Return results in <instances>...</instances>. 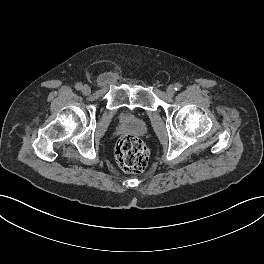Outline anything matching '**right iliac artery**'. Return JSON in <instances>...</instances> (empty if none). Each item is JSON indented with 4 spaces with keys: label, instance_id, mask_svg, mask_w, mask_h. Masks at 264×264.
Returning <instances> with one entry per match:
<instances>
[{
    "label": "right iliac artery",
    "instance_id": "obj_1",
    "mask_svg": "<svg viewBox=\"0 0 264 264\" xmlns=\"http://www.w3.org/2000/svg\"><path fill=\"white\" fill-rule=\"evenodd\" d=\"M82 84L81 83H77L76 85H75V88L77 89V90H81L82 89Z\"/></svg>",
    "mask_w": 264,
    "mask_h": 264
}]
</instances>
